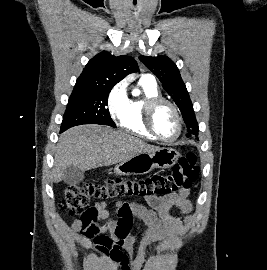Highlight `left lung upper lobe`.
<instances>
[{"mask_svg": "<svg viewBox=\"0 0 267 270\" xmlns=\"http://www.w3.org/2000/svg\"><path fill=\"white\" fill-rule=\"evenodd\" d=\"M140 61L151 70L162 83L163 88L173 98L180 109L188 129L187 136L199 131L193 105L186 86L175 63L166 56H140Z\"/></svg>", "mask_w": 267, "mask_h": 270, "instance_id": "obj_1", "label": "left lung upper lobe"}]
</instances>
